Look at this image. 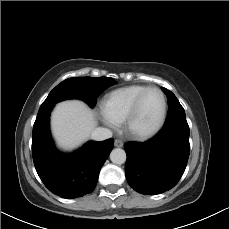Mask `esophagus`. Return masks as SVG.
I'll use <instances>...</instances> for the list:
<instances>
[{"mask_svg":"<svg viewBox=\"0 0 229 229\" xmlns=\"http://www.w3.org/2000/svg\"><path fill=\"white\" fill-rule=\"evenodd\" d=\"M114 145H115V147H122L123 146V142L120 141V140H115L114 141Z\"/></svg>","mask_w":229,"mask_h":229,"instance_id":"34e87169","label":"esophagus"}]
</instances>
